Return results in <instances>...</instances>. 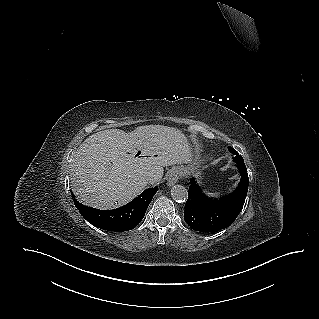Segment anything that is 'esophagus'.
Masks as SVG:
<instances>
[{
  "label": "esophagus",
  "mask_w": 319,
  "mask_h": 319,
  "mask_svg": "<svg viewBox=\"0 0 319 319\" xmlns=\"http://www.w3.org/2000/svg\"><path fill=\"white\" fill-rule=\"evenodd\" d=\"M180 173L178 171H172L167 178V185L172 186L178 182Z\"/></svg>",
  "instance_id": "34e87169"
}]
</instances>
